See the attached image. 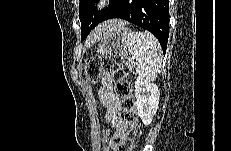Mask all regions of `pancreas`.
Segmentation results:
<instances>
[{
  "mask_svg": "<svg viewBox=\"0 0 231 151\" xmlns=\"http://www.w3.org/2000/svg\"><path fill=\"white\" fill-rule=\"evenodd\" d=\"M126 65L128 66L129 70L131 71L132 70L131 64L126 63Z\"/></svg>",
  "mask_w": 231,
  "mask_h": 151,
  "instance_id": "1",
  "label": "pancreas"
}]
</instances>
